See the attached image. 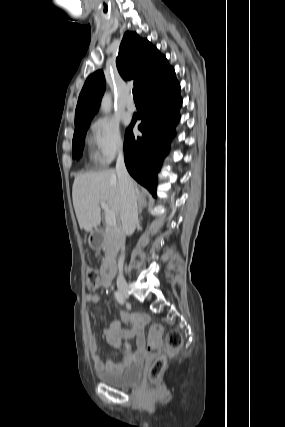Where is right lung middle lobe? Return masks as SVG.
<instances>
[{"label":"right lung middle lobe","instance_id":"1","mask_svg":"<svg viewBox=\"0 0 285 427\" xmlns=\"http://www.w3.org/2000/svg\"><path fill=\"white\" fill-rule=\"evenodd\" d=\"M89 124L90 123L75 129L73 142H72L73 158L78 159L81 155V150L83 149V145H84V138L86 135V131L89 127Z\"/></svg>","mask_w":285,"mask_h":427}]
</instances>
